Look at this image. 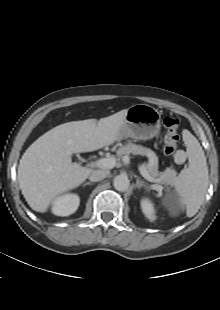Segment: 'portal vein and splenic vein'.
<instances>
[{"mask_svg":"<svg viewBox=\"0 0 220 310\" xmlns=\"http://www.w3.org/2000/svg\"><path fill=\"white\" fill-rule=\"evenodd\" d=\"M93 166L101 168V169H112L116 165V159L114 157L110 158H101L92 163ZM140 174L149 182H158L159 179L153 178L147 170L144 168V166L139 167ZM153 189L155 190H161V186H154Z\"/></svg>","mask_w":220,"mask_h":310,"instance_id":"obj_1","label":"portal vein and splenic vein"}]
</instances>
